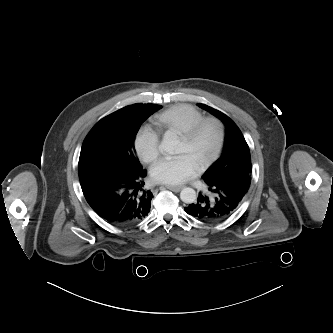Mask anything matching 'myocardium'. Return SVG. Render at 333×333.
<instances>
[{
  "label": "myocardium",
  "instance_id": "1",
  "mask_svg": "<svg viewBox=\"0 0 333 333\" xmlns=\"http://www.w3.org/2000/svg\"><path fill=\"white\" fill-rule=\"evenodd\" d=\"M208 124H212L216 127L217 143H216V147H215L213 153L211 154V156L198 165L199 171H203V170L209 168L220 157V155L223 151V148L225 145V139H226V127H225L224 122L221 119L214 117V116L204 117L200 121H198L196 124H194L190 129H188L186 132H184L180 135L181 139H183L184 141H186L188 143H191L197 138V136L199 135L201 130Z\"/></svg>",
  "mask_w": 333,
  "mask_h": 333
}]
</instances>
